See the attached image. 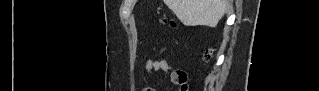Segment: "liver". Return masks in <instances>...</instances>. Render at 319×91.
Here are the masks:
<instances>
[{
  "instance_id": "1",
  "label": "liver",
  "mask_w": 319,
  "mask_h": 91,
  "mask_svg": "<svg viewBox=\"0 0 319 91\" xmlns=\"http://www.w3.org/2000/svg\"><path fill=\"white\" fill-rule=\"evenodd\" d=\"M177 18L186 26L216 27L224 16L227 0H164Z\"/></svg>"
}]
</instances>
